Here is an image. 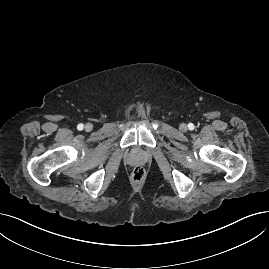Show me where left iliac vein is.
Returning <instances> with one entry per match:
<instances>
[{
    "mask_svg": "<svg viewBox=\"0 0 269 269\" xmlns=\"http://www.w3.org/2000/svg\"><path fill=\"white\" fill-rule=\"evenodd\" d=\"M179 129L182 131V132H185L187 131L188 127L185 123H181L180 126H179Z\"/></svg>",
    "mask_w": 269,
    "mask_h": 269,
    "instance_id": "left-iliac-vein-1",
    "label": "left iliac vein"
}]
</instances>
